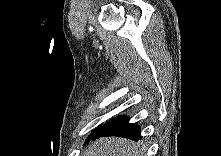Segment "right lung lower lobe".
<instances>
[{
  "mask_svg": "<svg viewBox=\"0 0 221 156\" xmlns=\"http://www.w3.org/2000/svg\"><path fill=\"white\" fill-rule=\"evenodd\" d=\"M105 136H119L138 141L142 139L140 127L129 123V117L118 116L107 122L95 134L92 140Z\"/></svg>",
  "mask_w": 221,
  "mask_h": 156,
  "instance_id": "98d812e1",
  "label": "right lung lower lobe"
}]
</instances>
